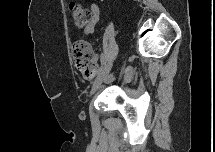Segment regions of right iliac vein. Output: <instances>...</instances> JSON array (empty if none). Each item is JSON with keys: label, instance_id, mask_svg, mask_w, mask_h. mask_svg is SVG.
I'll return each instance as SVG.
<instances>
[{"label": "right iliac vein", "instance_id": "63e3f726", "mask_svg": "<svg viewBox=\"0 0 215 152\" xmlns=\"http://www.w3.org/2000/svg\"><path fill=\"white\" fill-rule=\"evenodd\" d=\"M111 68H112V62L108 63L105 66V68L103 69V71L99 74V76L97 77V79L94 81L92 89H91V92H90L91 95H93L98 90V88L100 87V85L102 84V82L105 80V78L109 74Z\"/></svg>", "mask_w": 215, "mask_h": 152}]
</instances>
